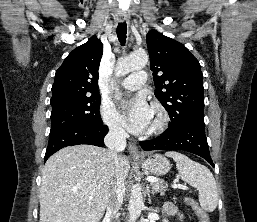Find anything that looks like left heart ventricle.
<instances>
[{"instance_id":"1","label":"left heart ventricle","mask_w":257,"mask_h":222,"mask_svg":"<svg viewBox=\"0 0 257 222\" xmlns=\"http://www.w3.org/2000/svg\"><path fill=\"white\" fill-rule=\"evenodd\" d=\"M154 119H155V115H154V117H152V121H151V124H150V125H152V123H153Z\"/></svg>"}]
</instances>
